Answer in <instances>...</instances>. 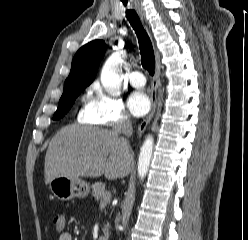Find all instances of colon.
I'll return each mask as SVG.
<instances>
[{
    "label": "colon",
    "mask_w": 248,
    "mask_h": 240,
    "mask_svg": "<svg viewBox=\"0 0 248 240\" xmlns=\"http://www.w3.org/2000/svg\"><path fill=\"white\" fill-rule=\"evenodd\" d=\"M53 226L58 233H63L65 230V217L63 214H56L52 220Z\"/></svg>",
    "instance_id": "colon-1"
}]
</instances>
